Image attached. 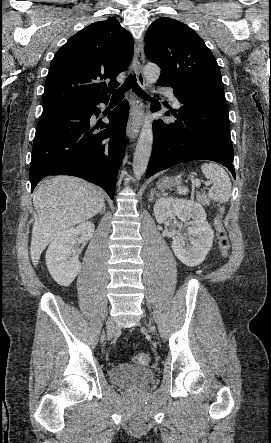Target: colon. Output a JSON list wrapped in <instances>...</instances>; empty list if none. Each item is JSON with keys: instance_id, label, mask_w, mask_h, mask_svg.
I'll return each instance as SVG.
<instances>
[{"instance_id": "obj_1", "label": "colon", "mask_w": 271, "mask_h": 443, "mask_svg": "<svg viewBox=\"0 0 271 443\" xmlns=\"http://www.w3.org/2000/svg\"><path fill=\"white\" fill-rule=\"evenodd\" d=\"M215 230L219 248L223 255H227L230 249V241L223 223L222 209L215 219ZM149 356L146 353H138L134 356V362L139 365H147Z\"/></svg>"}]
</instances>
